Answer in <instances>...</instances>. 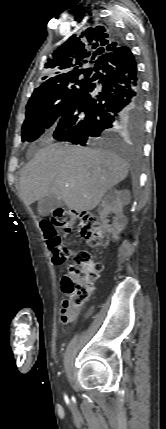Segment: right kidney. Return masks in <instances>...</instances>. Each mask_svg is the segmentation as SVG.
I'll use <instances>...</instances> for the list:
<instances>
[{
  "instance_id": "right-kidney-1",
  "label": "right kidney",
  "mask_w": 166,
  "mask_h": 429,
  "mask_svg": "<svg viewBox=\"0 0 166 429\" xmlns=\"http://www.w3.org/2000/svg\"><path fill=\"white\" fill-rule=\"evenodd\" d=\"M131 196L128 190L111 189L100 204L98 211L100 220L106 231L117 240L120 232L127 224V218L123 214V206L130 202ZM113 213V223L110 225L108 215Z\"/></svg>"
}]
</instances>
